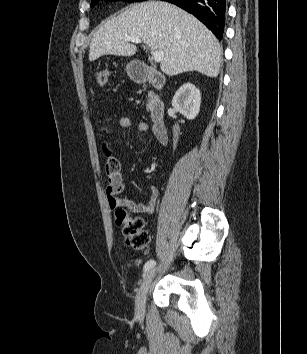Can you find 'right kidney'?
Instances as JSON below:
<instances>
[{"instance_id":"ca27d5eb","label":"right kidney","mask_w":307,"mask_h":354,"mask_svg":"<svg viewBox=\"0 0 307 354\" xmlns=\"http://www.w3.org/2000/svg\"><path fill=\"white\" fill-rule=\"evenodd\" d=\"M201 93L192 83L183 84L172 99V106L187 119H194L200 110Z\"/></svg>"}]
</instances>
